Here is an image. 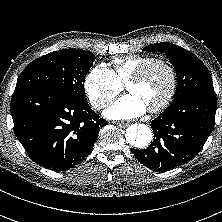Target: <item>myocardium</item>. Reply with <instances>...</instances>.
Listing matches in <instances>:
<instances>
[{"label":"myocardium","instance_id":"f54148a6","mask_svg":"<svg viewBox=\"0 0 222 222\" xmlns=\"http://www.w3.org/2000/svg\"><path fill=\"white\" fill-rule=\"evenodd\" d=\"M156 65H161L167 69L170 75V87L166 94V96L163 98V100L156 106L149 108L148 111L150 113H158L162 110H164L172 101V99L175 96L176 90H177V72L174 68V66L167 60L164 59H153L141 67H139L134 74H132L129 79L126 81V88L131 83H138L144 79L146 74L150 71L151 68H153Z\"/></svg>","mask_w":222,"mask_h":222}]
</instances>
